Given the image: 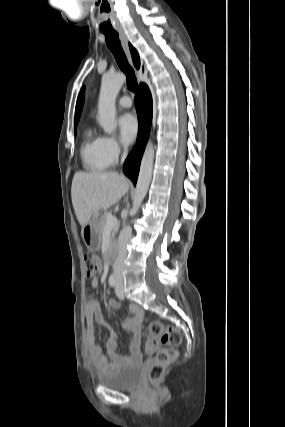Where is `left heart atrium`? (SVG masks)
Returning a JSON list of instances; mask_svg holds the SVG:
<instances>
[{
	"mask_svg": "<svg viewBox=\"0 0 285 427\" xmlns=\"http://www.w3.org/2000/svg\"><path fill=\"white\" fill-rule=\"evenodd\" d=\"M118 126L122 141L125 144L133 142L139 128L136 117L131 113H125L119 118Z\"/></svg>",
	"mask_w": 285,
	"mask_h": 427,
	"instance_id": "1",
	"label": "left heart atrium"
}]
</instances>
